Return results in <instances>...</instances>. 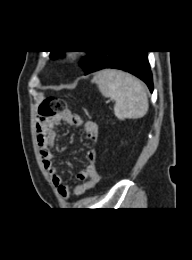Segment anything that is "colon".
Segmentation results:
<instances>
[{
	"mask_svg": "<svg viewBox=\"0 0 192 260\" xmlns=\"http://www.w3.org/2000/svg\"><path fill=\"white\" fill-rule=\"evenodd\" d=\"M68 112L65 102L57 97L46 98L39 107V115L42 120L64 116Z\"/></svg>",
	"mask_w": 192,
	"mask_h": 260,
	"instance_id": "colon-1",
	"label": "colon"
}]
</instances>
